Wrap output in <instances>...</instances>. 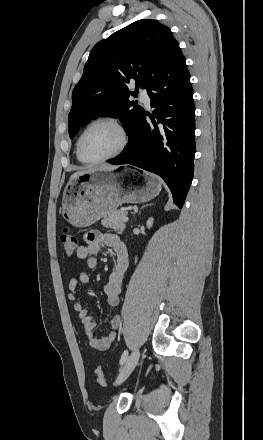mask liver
I'll use <instances>...</instances> for the list:
<instances>
[{
	"mask_svg": "<svg viewBox=\"0 0 263 440\" xmlns=\"http://www.w3.org/2000/svg\"><path fill=\"white\" fill-rule=\"evenodd\" d=\"M116 168H117L116 166L105 164V165H102V166L97 167V168H92V169H88V170H84V171H78V172H75V173L72 174L71 178H73V177H77V176H79V175H82V174H85V173H87V172L94 171V170L113 171V170H115Z\"/></svg>",
	"mask_w": 263,
	"mask_h": 440,
	"instance_id": "1",
	"label": "liver"
}]
</instances>
